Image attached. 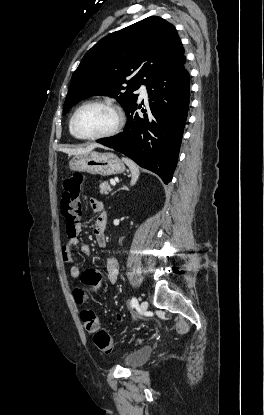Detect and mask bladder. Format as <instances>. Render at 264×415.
Wrapping results in <instances>:
<instances>
[{
  "label": "bladder",
  "instance_id": "31cf9c89",
  "mask_svg": "<svg viewBox=\"0 0 264 415\" xmlns=\"http://www.w3.org/2000/svg\"><path fill=\"white\" fill-rule=\"evenodd\" d=\"M152 353L153 348L151 346L140 348L126 355L123 359V363L128 368L139 367L148 361Z\"/></svg>",
  "mask_w": 264,
  "mask_h": 415
}]
</instances>
